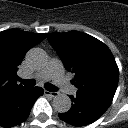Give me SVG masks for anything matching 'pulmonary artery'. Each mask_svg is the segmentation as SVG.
Listing matches in <instances>:
<instances>
[{"label":"pulmonary artery","instance_id":"1","mask_svg":"<svg viewBox=\"0 0 128 128\" xmlns=\"http://www.w3.org/2000/svg\"><path fill=\"white\" fill-rule=\"evenodd\" d=\"M35 77L41 80H53L66 94L75 95L77 92L74 86L68 84L62 63L56 58L51 59L47 66Z\"/></svg>","mask_w":128,"mask_h":128}]
</instances>
